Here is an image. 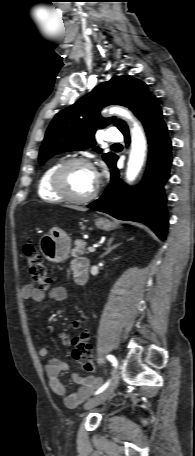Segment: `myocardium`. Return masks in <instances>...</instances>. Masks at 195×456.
<instances>
[{"mask_svg":"<svg viewBox=\"0 0 195 456\" xmlns=\"http://www.w3.org/2000/svg\"><path fill=\"white\" fill-rule=\"evenodd\" d=\"M74 165L88 166V167L92 168L97 175V182H96L94 189L92 190V192H90L86 196H81V197L75 196V195L71 194L67 189V186L65 183V174H66V171L71 166H74ZM99 186H100V181H99V177L96 172L95 166L89 159H86L83 157L69 158V159L59 163V165L55 168V170L51 176V187H52L53 191L58 196H60L62 199L66 200L68 202H71V203L82 204V203H87V202L93 200L96 197V195L98 194Z\"/></svg>","mask_w":195,"mask_h":456,"instance_id":"f54148a6","label":"myocardium"}]
</instances>
